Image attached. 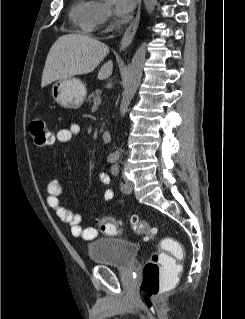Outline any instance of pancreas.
I'll return each mask as SVG.
<instances>
[{
  "label": "pancreas",
  "instance_id": "obj_1",
  "mask_svg": "<svg viewBox=\"0 0 245 319\" xmlns=\"http://www.w3.org/2000/svg\"><path fill=\"white\" fill-rule=\"evenodd\" d=\"M102 93V91L100 89H96L94 92H92L89 96L87 101L91 102L92 100L94 101L95 98H97L98 96H100Z\"/></svg>",
  "mask_w": 245,
  "mask_h": 319
}]
</instances>
